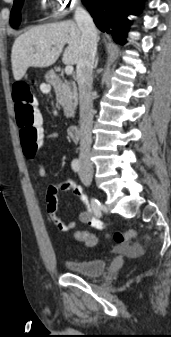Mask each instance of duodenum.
<instances>
[{
    "label": "duodenum",
    "instance_id": "410a0bca",
    "mask_svg": "<svg viewBox=\"0 0 171 337\" xmlns=\"http://www.w3.org/2000/svg\"><path fill=\"white\" fill-rule=\"evenodd\" d=\"M49 79L54 87L59 88L61 85V79L55 72H50L48 74ZM68 135L75 141L80 140V127L76 124H72L67 129Z\"/></svg>",
    "mask_w": 171,
    "mask_h": 337
}]
</instances>
